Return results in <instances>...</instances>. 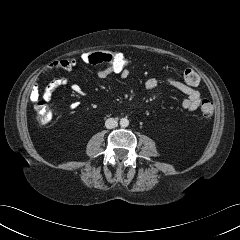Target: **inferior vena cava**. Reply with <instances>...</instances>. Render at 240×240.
I'll return each instance as SVG.
<instances>
[{
    "label": "inferior vena cava",
    "mask_w": 240,
    "mask_h": 240,
    "mask_svg": "<svg viewBox=\"0 0 240 240\" xmlns=\"http://www.w3.org/2000/svg\"><path fill=\"white\" fill-rule=\"evenodd\" d=\"M118 125V122L116 119L114 118H108L106 121H105V126L107 129H112V128H115L117 127Z\"/></svg>",
    "instance_id": "obj_1"
}]
</instances>
